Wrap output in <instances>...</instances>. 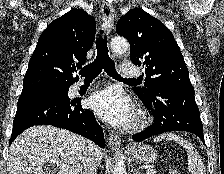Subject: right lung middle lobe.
<instances>
[{
    "label": "right lung middle lobe",
    "mask_w": 224,
    "mask_h": 174,
    "mask_svg": "<svg viewBox=\"0 0 224 174\" xmlns=\"http://www.w3.org/2000/svg\"><path fill=\"white\" fill-rule=\"evenodd\" d=\"M61 85H47V86H44V87H60ZM66 86H69V85H66Z\"/></svg>",
    "instance_id": "1"
}]
</instances>
